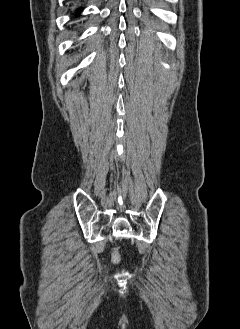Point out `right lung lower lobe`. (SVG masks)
<instances>
[{
    "label": "right lung lower lobe",
    "mask_w": 240,
    "mask_h": 329,
    "mask_svg": "<svg viewBox=\"0 0 240 329\" xmlns=\"http://www.w3.org/2000/svg\"><path fill=\"white\" fill-rule=\"evenodd\" d=\"M81 11H82V8L77 9V10H76V13H79V12H81Z\"/></svg>",
    "instance_id": "obj_1"
}]
</instances>
